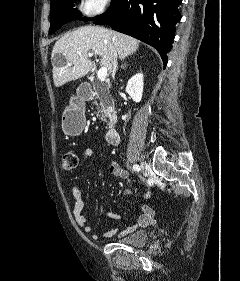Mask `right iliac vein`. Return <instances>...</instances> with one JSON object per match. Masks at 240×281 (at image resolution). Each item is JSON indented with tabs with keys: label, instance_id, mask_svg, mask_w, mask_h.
<instances>
[{
	"label": "right iliac vein",
	"instance_id": "obj_1",
	"mask_svg": "<svg viewBox=\"0 0 240 281\" xmlns=\"http://www.w3.org/2000/svg\"><path fill=\"white\" fill-rule=\"evenodd\" d=\"M141 168H142L143 174L145 176H148L149 175V171H150L149 165L147 163H145V162H141Z\"/></svg>",
	"mask_w": 240,
	"mask_h": 281
}]
</instances>
